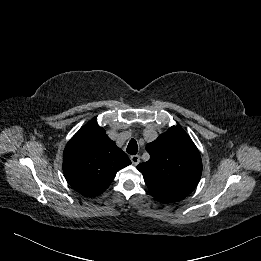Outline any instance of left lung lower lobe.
I'll return each mask as SVG.
<instances>
[{"label": "left lung lower lobe", "mask_w": 261, "mask_h": 261, "mask_svg": "<svg viewBox=\"0 0 261 261\" xmlns=\"http://www.w3.org/2000/svg\"><path fill=\"white\" fill-rule=\"evenodd\" d=\"M156 199L160 202H176L182 200L176 197H168V196H159L156 197Z\"/></svg>", "instance_id": "0a47b994"}]
</instances>
